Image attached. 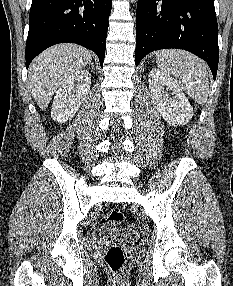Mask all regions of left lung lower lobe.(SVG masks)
<instances>
[{
    "instance_id": "obj_1",
    "label": "left lung lower lobe",
    "mask_w": 233,
    "mask_h": 286,
    "mask_svg": "<svg viewBox=\"0 0 233 286\" xmlns=\"http://www.w3.org/2000/svg\"><path fill=\"white\" fill-rule=\"evenodd\" d=\"M187 50L216 78L219 47L214 0H138L135 63L159 49Z\"/></svg>"
}]
</instances>
